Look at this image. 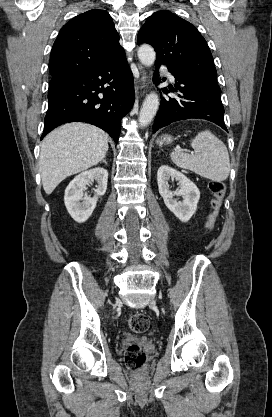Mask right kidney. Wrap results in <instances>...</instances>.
<instances>
[{
  "instance_id": "obj_1",
  "label": "right kidney",
  "mask_w": 272,
  "mask_h": 417,
  "mask_svg": "<svg viewBox=\"0 0 272 417\" xmlns=\"http://www.w3.org/2000/svg\"><path fill=\"white\" fill-rule=\"evenodd\" d=\"M93 180L98 184L95 189L94 197H84L83 191ZM107 181V170L98 167L82 172L69 183L65 190L64 203L69 214L76 222L84 223L92 215L98 197L104 195L106 192Z\"/></svg>"
}]
</instances>
